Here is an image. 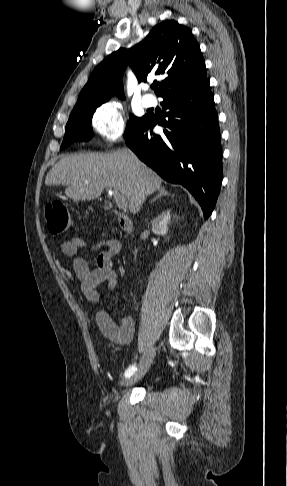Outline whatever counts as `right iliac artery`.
<instances>
[{"label": "right iliac artery", "mask_w": 287, "mask_h": 486, "mask_svg": "<svg viewBox=\"0 0 287 486\" xmlns=\"http://www.w3.org/2000/svg\"><path fill=\"white\" fill-rule=\"evenodd\" d=\"M137 370L135 365L130 366L126 371H125V377H130L133 375V373Z\"/></svg>", "instance_id": "1"}]
</instances>
